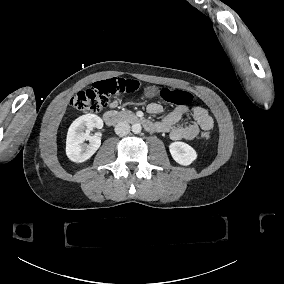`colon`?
Listing matches in <instances>:
<instances>
[{
  "mask_svg": "<svg viewBox=\"0 0 284 284\" xmlns=\"http://www.w3.org/2000/svg\"><path fill=\"white\" fill-rule=\"evenodd\" d=\"M140 81L136 79L110 78L94 83L91 87L77 92L71 99L73 107L81 112H97L105 107L109 97L121 93H134L140 88ZM164 99L171 106L186 107L191 104L193 95L186 88L171 87L166 90ZM208 138L207 132L202 133Z\"/></svg>",
  "mask_w": 284,
  "mask_h": 284,
  "instance_id": "5ec220e1",
  "label": "colon"
}]
</instances>
